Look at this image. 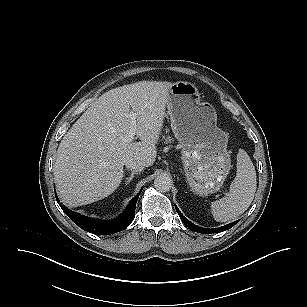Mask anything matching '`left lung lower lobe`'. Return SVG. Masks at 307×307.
Returning <instances> with one entry per match:
<instances>
[{"label":"left lung lower lobe","mask_w":307,"mask_h":307,"mask_svg":"<svg viewBox=\"0 0 307 307\" xmlns=\"http://www.w3.org/2000/svg\"><path fill=\"white\" fill-rule=\"evenodd\" d=\"M177 213L179 214L180 219L182 220V222L192 231L194 232H199V233H205V234H211V233H220L223 231H226L230 228H232L236 223L239 222V220L234 221L230 224H227L225 226L219 227V228H212V229H206L203 227H199L195 224H193L192 222H190L187 218H185L182 213L180 212V210L177 208V206H175Z\"/></svg>","instance_id":"1"}]
</instances>
